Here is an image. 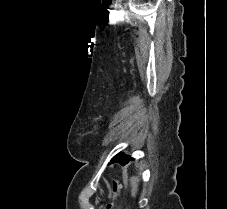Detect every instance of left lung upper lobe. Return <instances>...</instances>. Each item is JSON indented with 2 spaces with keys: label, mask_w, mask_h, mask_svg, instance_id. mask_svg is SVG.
Returning a JSON list of instances; mask_svg holds the SVG:
<instances>
[{
  "label": "left lung upper lobe",
  "mask_w": 227,
  "mask_h": 209,
  "mask_svg": "<svg viewBox=\"0 0 227 209\" xmlns=\"http://www.w3.org/2000/svg\"><path fill=\"white\" fill-rule=\"evenodd\" d=\"M123 156H124V155H123L122 153H119V154L115 155V156L112 158L111 163L120 162L121 159L123 158Z\"/></svg>",
  "instance_id": "obj_1"
}]
</instances>
